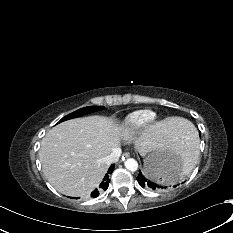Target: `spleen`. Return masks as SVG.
I'll list each match as a JSON object with an SVG mask.
<instances>
[{
	"instance_id": "3e777b00",
	"label": "spleen",
	"mask_w": 233,
	"mask_h": 233,
	"mask_svg": "<svg viewBox=\"0 0 233 233\" xmlns=\"http://www.w3.org/2000/svg\"><path fill=\"white\" fill-rule=\"evenodd\" d=\"M196 144H197L196 130L194 126L189 121L186 120L185 130L181 135V137L178 138V143L175 148L176 152L182 156V159L185 162L184 172L187 170L189 164L194 163L199 158V153ZM182 175L178 179H180Z\"/></svg>"
}]
</instances>
